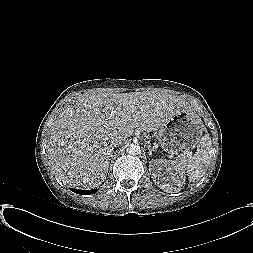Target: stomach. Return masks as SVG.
I'll return each mask as SVG.
<instances>
[{
	"label": "stomach",
	"mask_w": 253,
	"mask_h": 253,
	"mask_svg": "<svg viewBox=\"0 0 253 253\" xmlns=\"http://www.w3.org/2000/svg\"><path fill=\"white\" fill-rule=\"evenodd\" d=\"M203 131L199 116L193 112H180L159 129L157 139L163 151L182 157L198 147Z\"/></svg>",
	"instance_id": "0dacf381"
}]
</instances>
